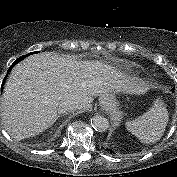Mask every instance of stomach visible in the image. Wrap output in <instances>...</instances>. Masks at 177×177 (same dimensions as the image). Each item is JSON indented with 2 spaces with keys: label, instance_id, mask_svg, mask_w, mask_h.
<instances>
[{
  "label": "stomach",
  "instance_id": "0dacf381",
  "mask_svg": "<svg viewBox=\"0 0 177 177\" xmlns=\"http://www.w3.org/2000/svg\"><path fill=\"white\" fill-rule=\"evenodd\" d=\"M99 103H100V106L104 110H106L110 113H114L118 107V101H117L116 96L113 92L108 93V94L102 96L101 98H99Z\"/></svg>",
  "mask_w": 177,
  "mask_h": 177
}]
</instances>
